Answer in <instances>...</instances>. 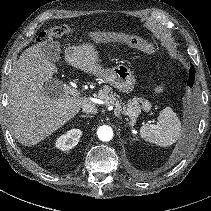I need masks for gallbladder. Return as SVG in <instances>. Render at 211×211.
I'll use <instances>...</instances> for the list:
<instances>
[{
    "instance_id": "bac80fb5",
    "label": "gallbladder",
    "mask_w": 211,
    "mask_h": 211,
    "mask_svg": "<svg viewBox=\"0 0 211 211\" xmlns=\"http://www.w3.org/2000/svg\"><path fill=\"white\" fill-rule=\"evenodd\" d=\"M43 53L45 54L46 58L51 62H59L60 61V53L61 47L58 41H51L49 42L44 48ZM55 82L50 83V85H55Z\"/></svg>"
}]
</instances>
